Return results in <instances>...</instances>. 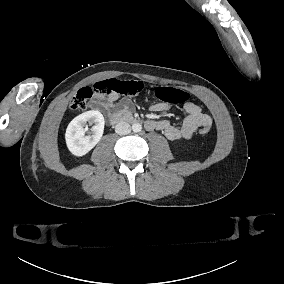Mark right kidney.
I'll use <instances>...</instances> for the list:
<instances>
[{
    "mask_svg": "<svg viewBox=\"0 0 284 284\" xmlns=\"http://www.w3.org/2000/svg\"><path fill=\"white\" fill-rule=\"evenodd\" d=\"M87 122L94 124L92 135H86L87 129L83 126ZM104 126V117L98 111H87L74 118L69 123L65 133L66 146L69 152L76 157L86 155L102 139Z\"/></svg>",
    "mask_w": 284,
    "mask_h": 284,
    "instance_id": "1",
    "label": "right kidney"
}]
</instances>
